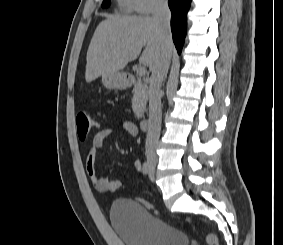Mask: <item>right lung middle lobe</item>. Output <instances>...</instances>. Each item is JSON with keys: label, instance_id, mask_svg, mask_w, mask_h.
Wrapping results in <instances>:
<instances>
[{"label": "right lung middle lobe", "instance_id": "right-lung-middle-lobe-1", "mask_svg": "<svg viewBox=\"0 0 283 245\" xmlns=\"http://www.w3.org/2000/svg\"><path fill=\"white\" fill-rule=\"evenodd\" d=\"M110 0H103L102 7H108Z\"/></svg>", "mask_w": 283, "mask_h": 245}]
</instances>
